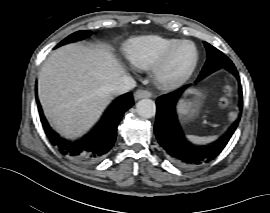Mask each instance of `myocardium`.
Returning <instances> with one entry per match:
<instances>
[{"label":"myocardium","instance_id":"1","mask_svg":"<svg viewBox=\"0 0 270 213\" xmlns=\"http://www.w3.org/2000/svg\"><path fill=\"white\" fill-rule=\"evenodd\" d=\"M190 44L194 50V59L191 65L179 74H169V65L175 50L181 44ZM199 60V53L196 45L190 40H178L163 56L152 66V75L159 87L165 90H173L183 86L193 75Z\"/></svg>","mask_w":270,"mask_h":213}]
</instances>
